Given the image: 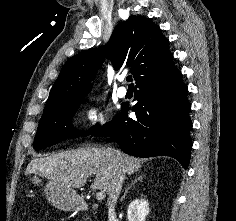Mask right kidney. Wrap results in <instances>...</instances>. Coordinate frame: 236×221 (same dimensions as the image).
<instances>
[{
    "mask_svg": "<svg viewBox=\"0 0 236 221\" xmlns=\"http://www.w3.org/2000/svg\"><path fill=\"white\" fill-rule=\"evenodd\" d=\"M148 214L149 204L148 201L144 199L133 200L127 209V218L129 221H145Z\"/></svg>",
    "mask_w": 236,
    "mask_h": 221,
    "instance_id": "obj_1",
    "label": "right kidney"
}]
</instances>
